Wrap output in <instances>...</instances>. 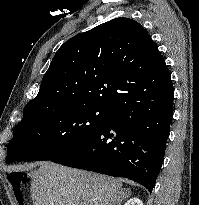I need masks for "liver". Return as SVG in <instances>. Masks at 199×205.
Masks as SVG:
<instances>
[{"instance_id":"liver-1","label":"liver","mask_w":199,"mask_h":205,"mask_svg":"<svg viewBox=\"0 0 199 205\" xmlns=\"http://www.w3.org/2000/svg\"><path fill=\"white\" fill-rule=\"evenodd\" d=\"M129 195L120 179L53 162H40L31 183L34 205H120Z\"/></svg>"}]
</instances>
